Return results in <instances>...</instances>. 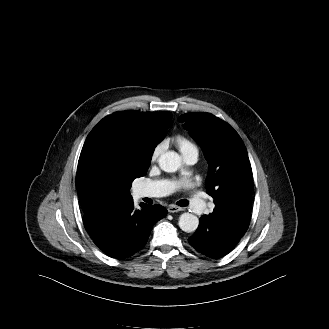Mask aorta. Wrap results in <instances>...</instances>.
I'll return each instance as SVG.
<instances>
[{"instance_id":"obj_1","label":"aorta","mask_w":329,"mask_h":329,"mask_svg":"<svg viewBox=\"0 0 329 329\" xmlns=\"http://www.w3.org/2000/svg\"><path fill=\"white\" fill-rule=\"evenodd\" d=\"M158 163L163 171L175 172L181 167L182 160L178 153L168 151L159 157ZM178 225L182 231L191 233L198 228L199 219L191 213H183L179 217Z\"/></svg>"}]
</instances>
